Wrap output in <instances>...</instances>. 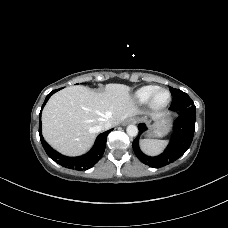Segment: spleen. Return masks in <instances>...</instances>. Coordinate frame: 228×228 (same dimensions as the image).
Instances as JSON below:
<instances>
[{
    "label": "spleen",
    "instance_id": "spleen-1",
    "mask_svg": "<svg viewBox=\"0 0 228 228\" xmlns=\"http://www.w3.org/2000/svg\"><path fill=\"white\" fill-rule=\"evenodd\" d=\"M167 144L166 140L158 139H142L140 141V147L144 153L150 156L160 154Z\"/></svg>",
    "mask_w": 228,
    "mask_h": 228
}]
</instances>
